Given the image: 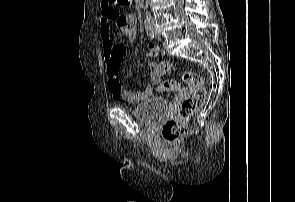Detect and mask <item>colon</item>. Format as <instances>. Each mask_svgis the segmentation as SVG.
<instances>
[{
	"mask_svg": "<svg viewBox=\"0 0 295 202\" xmlns=\"http://www.w3.org/2000/svg\"><path fill=\"white\" fill-rule=\"evenodd\" d=\"M110 2L120 6L132 4V0H110ZM147 60L153 61L154 57L148 56ZM176 69L177 67L174 64L167 61L151 63L149 66V71H152L153 75L169 74ZM181 74L183 81L191 88L192 94L190 98L183 101L177 117L167 120L162 127V137L169 143L177 142L186 136L188 120L202 106L206 97V87L199 74L190 70H182ZM179 89L180 84L174 80H166L157 86V90L160 92L177 91Z\"/></svg>",
	"mask_w": 295,
	"mask_h": 202,
	"instance_id": "5ec220e1",
	"label": "colon"
}]
</instances>
